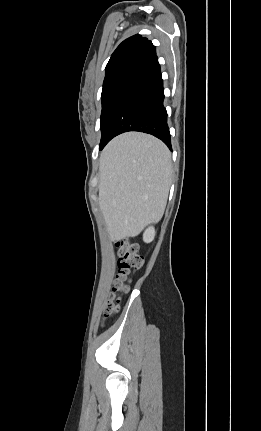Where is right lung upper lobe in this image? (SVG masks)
I'll return each instance as SVG.
<instances>
[{
    "label": "right lung upper lobe",
    "mask_w": 261,
    "mask_h": 431,
    "mask_svg": "<svg viewBox=\"0 0 261 431\" xmlns=\"http://www.w3.org/2000/svg\"><path fill=\"white\" fill-rule=\"evenodd\" d=\"M157 60L155 46L147 38L134 35L124 40L106 65L104 82L129 71H141Z\"/></svg>",
    "instance_id": "obj_1"
}]
</instances>
